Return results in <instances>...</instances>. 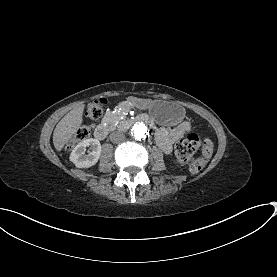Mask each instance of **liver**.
Masks as SVG:
<instances>
[{
  "label": "liver",
  "mask_w": 277,
  "mask_h": 277,
  "mask_svg": "<svg viewBox=\"0 0 277 277\" xmlns=\"http://www.w3.org/2000/svg\"><path fill=\"white\" fill-rule=\"evenodd\" d=\"M84 104L68 112L56 125L53 133V144L57 151H61L81 126Z\"/></svg>",
  "instance_id": "liver-1"
}]
</instances>
